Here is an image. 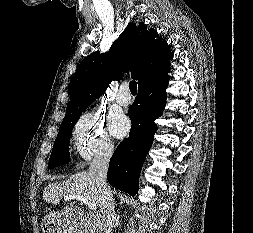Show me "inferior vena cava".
Listing matches in <instances>:
<instances>
[{
	"label": "inferior vena cava",
	"mask_w": 253,
	"mask_h": 233,
	"mask_svg": "<svg viewBox=\"0 0 253 233\" xmlns=\"http://www.w3.org/2000/svg\"><path fill=\"white\" fill-rule=\"evenodd\" d=\"M113 150V143H106L95 155L89 167V173L95 177L100 193L99 208L104 220L105 233H112L116 221L113 194L106 180Z\"/></svg>",
	"instance_id": "obj_1"
}]
</instances>
